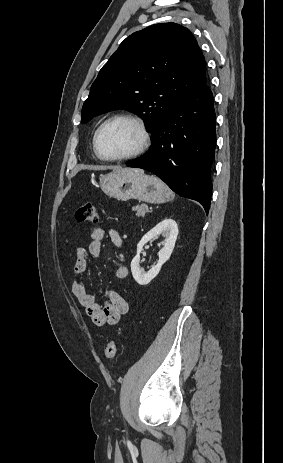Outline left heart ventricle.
I'll return each instance as SVG.
<instances>
[{"label":"left heart ventricle","instance_id":"1","mask_svg":"<svg viewBox=\"0 0 283 463\" xmlns=\"http://www.w3.org/2000/svg\"><path fill=\"white\" fill-rule=\"evenodd\" d=\"M140 141L137 127L128 121H115L101 132L98 147L103 156L116 157L134 151Z\"/></svg>","mask_w":283,"mask_h":463}]
</instances>
